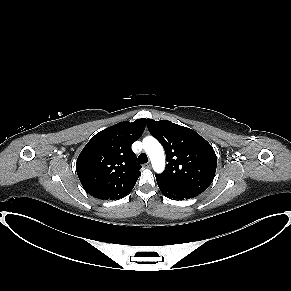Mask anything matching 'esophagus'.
Instances as JSON below:
<instances>
[{
    "label": "esophagus",
    "instance_id": "1",
    "mask_svg": "<svg viewBox=\"0 0 291 291\" xmlns=\"http://www.w3.org/2000/svg\"><path fill=\"white\" fill-rule=\"evenodd\" d=\"M144 168H151V164L150 163H146L143 165Z\"/></svg>",
    "mask_w": 291,
    "mask_h": 291
}]
</instances>
